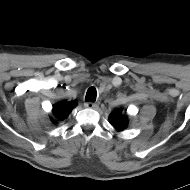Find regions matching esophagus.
<instances>
[{"label": "esophagus", "instance_id": "34e87169", "mask_svg": "<svg viewBox=\"0 0 190 190\" xmlns=\"http://www.w3.org/2000/svg\"><path fill=\"white\" fill-rule=\"evenodd\" d=\"M84 106L89 109H96L98 105L94 102L89 101V102H86Z\"/></svg>", "mask_w": 190, "mask_h": 190}]
</instances>
